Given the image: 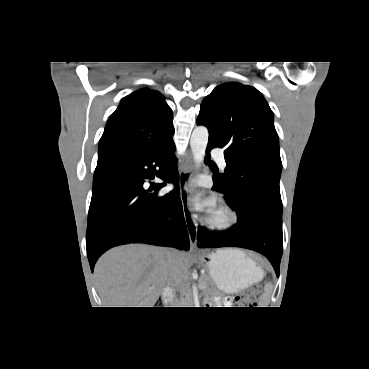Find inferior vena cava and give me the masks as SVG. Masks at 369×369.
<instances>
[{"label":"inferior vena cava","mask_w":369,"mask_h":369,"mask_svg":"<svg viewBox=\"0 0 369 369\" xmlns=\"http://www.w3.org/2000/svg\"><path fill=\"white\" fill-rule=\"evenodd\" d=\"M172 261H173V257L170 254H168L167 255V262L171 263Z\"/></svg>","instance_id":"602c4592"}]
</instances>
